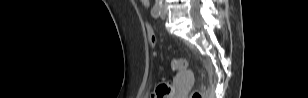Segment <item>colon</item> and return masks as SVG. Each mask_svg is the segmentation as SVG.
Listing matches in <instances>:
<instances>
[{
  "mask_svg": "<svg viewBox=\"0 0 308 98\" xmlns=\"http://www.w3.org/2000/svg\"><path fill=\"white\" fill-rule=\"evenodd\" d=\"M149 29L151 28L150 26L148 27ZM149 40L152 45L155 44V36L153 32L149 33ZM170 65L173 71L176 72H183L186 67L187 63L184 59L181 58H172L170 61ZM171 92V85L169 83H163L161 84L156 91V97L157 98H164ZM190 98H204V94L201 91H193L190 95Z\"/></svg>",
  "mask_w": 308,
  "mask_h": 98,
  "instance_id": "5ec220e1",
  "label": "colon"
}]
</instances>
